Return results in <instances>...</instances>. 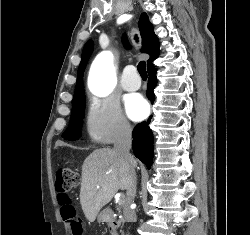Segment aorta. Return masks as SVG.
I'll list each match as a JSON object with an SVG mask.
<instances>
[{
  "mask_svg": "<svg viewBox=\"0 0 250 235\" xmlns=\"http://www.w3.org/2000/svg\"><path fill=\"white\" fill-rule=\"evenodd\" d=\"M115 66L109 52L101 53L91 69L90 88L98 95H106L110 92L115 82Z\"/></svg>",
  "mask_w": 250,
  "mask_h": 235,
  "instance_id": "1",
  "label": "aorta"
}]
</instances>
